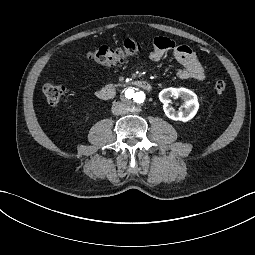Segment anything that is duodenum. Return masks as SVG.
Masks as SVG:
<instances>
[{"label": "duodenum", "instance_id": "obj_1", "mask_svg": "<svg viewBox=\"0 0 255 255\" xmlns=\"http://www.w3.org/2000/svg\"><path fill=\"white\" fill-rule=\"evenodd\" d=\"M132 85L145 91L151 90V84L143 79H137L132 82ZM116 95L114 87H104L96 91V96L101 100H111Z\"/></svg>", "mask_w": 255, "mask_h": 255}]
</instances>
